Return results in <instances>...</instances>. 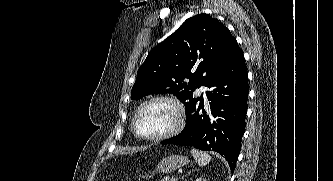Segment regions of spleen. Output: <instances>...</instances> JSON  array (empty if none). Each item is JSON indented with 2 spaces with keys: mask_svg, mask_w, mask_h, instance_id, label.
I'll return each instance as SVG.
<instances>
[{
  "mask_svg": "<svg viewBox=\"0 0 333 181\" xmlns=\"http://www.w3.org/2000/svg\"><path fill=\"white\" fill-rule=\"evenodd\" d=\"M191 154L200 166H205L211 161V156L203 151L191 149Z\"/></svg>",
  "mask_w": 333,
  "mask_h": 181,
  "instance_id": "1",
  "label": "spleen"
}]
</instances>
